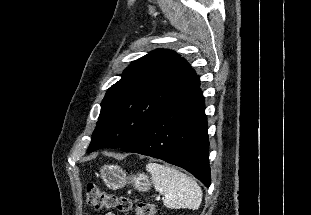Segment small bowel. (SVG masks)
<instances>
[{"instance_id":"small-bowel-1","label":"small bowel","mask_w":311,"mask_h":215,"mask_svg":"<svg viewBox=\"0 0 311 215\" xmlns=\"http://www.w3.org/2000/svg\"><path fill=\"white\" fill-rule=\"evenodd\" d=\"M105 215H116L114 212H107Z\"/></svg>"}]
</instances>
